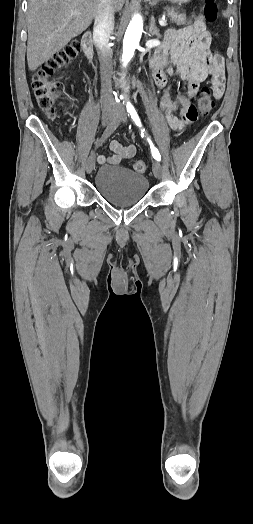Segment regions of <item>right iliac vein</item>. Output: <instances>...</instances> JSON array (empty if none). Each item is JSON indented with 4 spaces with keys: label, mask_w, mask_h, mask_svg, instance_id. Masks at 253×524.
<instances>
[{
    "label": "right iliac vein",
    "mask_w": 253,
    "mask_h": 524,
    "mask_svg": "<svg viewBox=\"0 0 253 524\" xmlns=\"http://www.w3.org/2000/svg\"><path fill=\"white\" fill-rule=\"evenodd\" d=\"M115 110L112 108H107L102 113V125L107 126L113 119ZM95 167V153H92L86 162V171L90 174Z\"/></svg>",
    "instance_id": "right-iliac-vein-1"
}]
</instances>
